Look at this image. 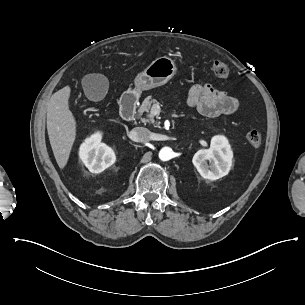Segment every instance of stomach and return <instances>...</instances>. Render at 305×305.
<instances>
[{
  "label": "stomach",
  "mask_w": 305,
  "mask_h": 305,
  "mask_svg": "<svg viewBox=\"0 0 305 305\" xmlns=\"http://www.w3.org/2000/svg\"><path fill=\"white\" fill-rule=\"evenodd\" d=\"M176 72L177 67L171 58L166 56L157 58L135 77V89L130 92V96L137 100L141 91L166 84Z\"/></svg>",
  "instance_id": "stomach-1"
}]
</instances>
